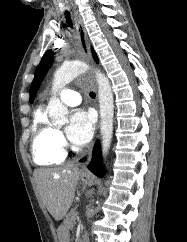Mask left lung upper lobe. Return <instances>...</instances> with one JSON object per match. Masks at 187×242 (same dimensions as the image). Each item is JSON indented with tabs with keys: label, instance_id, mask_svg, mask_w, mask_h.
Returning <instances> with one entry per match:
<instances>
[{
	"label": "left lung upper lobe",
	"instance_id": "left-lung-upper-lobe-1",
	"mask_svg": "<svg viewBox=\"0 0 187 242\" xmlns=\"http://www.w3.org/2000/svg\"><path fill=\"white\" fill-rule=\"evenodd\" d=\"M92 54L94 57V60L98 63V57L94 50H92ZM53 62V53L51 51H47L44 56L41 59L40 64L37 66L36 71H35V77L34 80L31 84L30 88V103L34 101V98L36 96L37 90L47 73L48 69L51 67Z\"/></svg>",
	"mask_w": 187,
	"mask_h": 242
}]
</instances>
